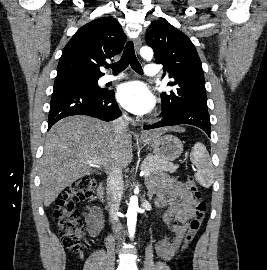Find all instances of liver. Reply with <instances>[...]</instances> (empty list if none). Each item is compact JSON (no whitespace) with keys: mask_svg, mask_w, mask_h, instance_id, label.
Listing matches in <instances>:
<instances>
[{"mask_svg":"<svg viewBox=\"0 0 267 270\" xmlns=\"http://www.w3.org/2000/svg\"><path fill=\"white\" fill-rule=\"evenodd\" d=\"M178 128H161L144 132L141 142L158 138ZM132 135L117 137L112 123L75 115L57 122L48 132L40 160V191L44 206L49 207L59 193L76 180L94 172L93 167L110 172L115 165L126 168L132 161ZM88 160H97L88 163Z\"/></svg>","mask_w":267,"mask_h":270,"instance_id":"liver-1","label":"liver"}]
</instances>
